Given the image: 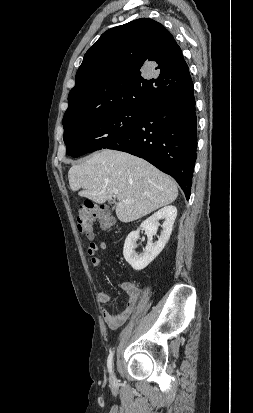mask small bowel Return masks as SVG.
<instances>
[{
    "label": "small bowel",
    "mask_w": 253,
    "mask_h": 413,
    "mask_svg": "<svg viewBox=\"0 0 253 413\" xmlns=\"http://www.w3.org/2000/svg\"><path fill=\"white\" fill-rule=\"evenodd\" d=\"M105 248V243H90L88 247V254L90 255V264L92 268H97L101 265L103 259L98 255V252L100 249ZM120 287L128 295L125 308L120 312H112L106 308H102L101 310L106 324L112 329H117L127 321V319L134 312L141 295L140 287L131 282H121ZM97 299L101 304L106 305L110 303L111 296L104 291H100L97 294Z\"/></svg>",
    "instance_id": "small-bowel-1"
}]
</instances>
